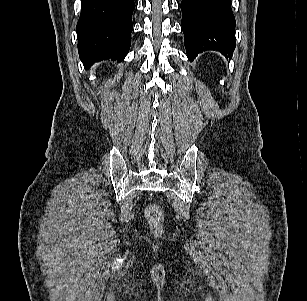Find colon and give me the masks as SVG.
Masks as SVG:
<instances>
[{
  "mask_svg": "<svg viewBox=\"0 0 307 301\" xmlns=\"http://www.w3.org/2000/svg\"><path fill=\"white\" fill-rule=\"evenodd\" d=\"M147 217L151 222L157 224L162 218V212L157 206H152L147 212Z\"/></svg>",
  "mask_w": 307,
  "mask_h": 301,
  "instance_id": "obj_1",
  "label": "colon"
}]
</instances>
